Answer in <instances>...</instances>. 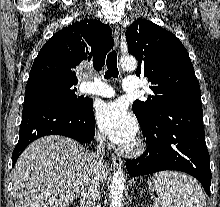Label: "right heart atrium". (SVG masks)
I'll use <instances>...</instances> for the list:
<instances>
[{
	"label": "right heart atrium",
	"instance_id": "1",
	"mask_svg": "<svg viewBox=\"0 0 220 207\" xmlns=\"http://www.w3.org/2000/svg\"><path fill=\"white\" fill-rule=\"evenodd\" d=\"M97 139L99 141H103V137H102V135L100 133H97Z\"/></svg>",
	"mask_w": 220,
	"mask_h": 207
}]
</instances>
